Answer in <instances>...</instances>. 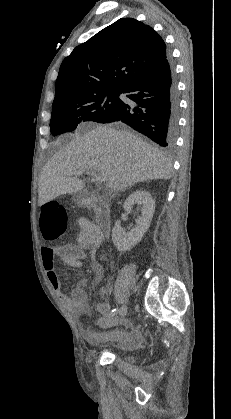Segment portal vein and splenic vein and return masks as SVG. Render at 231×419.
Returning <instances> with one entry per match:
<instances>
[{"label":"portal vein and splenic vein","mask_w":231,"mask_h":419,"mask_svg":"<svg viewBox=\"0 0 231 419\" xmlns=\"http://www.w3.org/2000/svg\"><path fill=\"white\" fill-rule=\"evenodd\" d=\"M84 173L83 170H77L76 172L73 173V175L79 176L82 175ZM91 175L94 176L95 181L102 183L106 181V175L101 174V173H97L95 171H90Z\"/></svg>","instance_id":"18ae733b"}]
</instances>
